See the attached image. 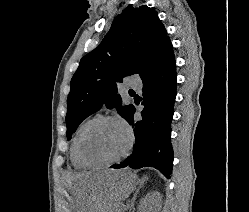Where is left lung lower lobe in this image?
Wrapping results in <instances>:
<instances>
[{
  "label": "left lung lower lobe",
  "mask_w": 249,
  "mask_h": 212,
  "mask_svg": "<svg viewBox=\"0 0 249 212\" xmlns=\"http://www.w3.org/2000/svg\"><path fill=\"white\" fill-rule=\"evenodd\" d=\"M143 81L142 120L135 122V107L130 105L124 118L136 137L132 155L111 168L154 167L170 178L173 164L171 121L176 98V63L171 42L159 52L153 63L140 75Z\"/></svg>",
  "instance_id": "left-lung-lower-lobe-1"
}]
</instances>
